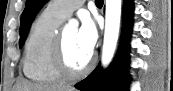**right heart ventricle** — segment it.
Returning a JSON list of instances; mask_svg holds the SVG:
<instances>
[{
	"mask_svg": "<svg viewBox=\"0 0 173 91\" xmlns=\"http://www.w3.org/2000/svg\"><path fill=\"white\" fill-rule=\"evenodd\" d=\"M63 21L46 9L31 27L24 48L23 72L34 82L55 84L62 80L53 68L52 52Z\"/></svg>",
	"mask_w": 173,
	"mask_h": 91,
	"instance_id": "obj_1",
	"label": "right heart ventricle"
}]
</instances>
